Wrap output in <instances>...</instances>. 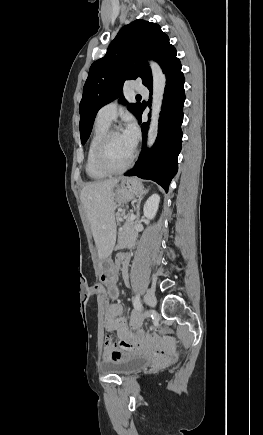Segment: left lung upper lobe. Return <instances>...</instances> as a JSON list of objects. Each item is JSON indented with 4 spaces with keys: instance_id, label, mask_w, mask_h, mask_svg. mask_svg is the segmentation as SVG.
<instances>
[{
    "instance_id": "obj_1",
    "label": "left lung upper lobe",
    "mask_w": 263,
    "mask_h": 435,
    "mask_svg": "<svg viewBox=\"0 0 263 435\" xmlns=\"http://www.w3.org/2000/svg\"><path fill=\"white\" fill-rule=\"evenodd\" d=\"M176 55L175 47L158 24L136 20L122 27L106 55L90 67L79 106L81 143L85 144L89 138L98 110L121 96L126 80L140 77L147 88L152 86V74L146 59L158 62L166 73L178 59ZM133 60L139 62L133 65ZM119 101L127 103L124 97ZM128 109L138 118L142 105L129 104Z\"/></svg>"
}]
</instances>
